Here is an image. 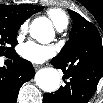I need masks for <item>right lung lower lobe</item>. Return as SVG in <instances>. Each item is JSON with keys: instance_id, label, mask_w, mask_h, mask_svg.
<instances>
[{"instance_id": "right-lung-lower-lobe-1", "label": "right lung lower lobe", "mask_w": 103, "mask_h": 103, "mask_svg": "<svg viewBox=\"0 0 103 103\" xmlns=\"http://www.w3.org/2000/svg\"><path fill=\"white\" fill-rule=\"evenodd\" d=\"M11 58L12 67H0V103H15L21 86L35 74L29 61L20 58L16 53Z\"/></svg>"}]
</instances>
